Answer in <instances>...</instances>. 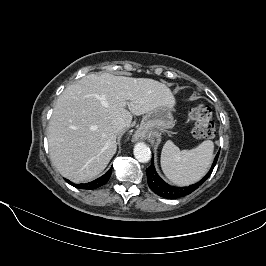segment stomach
Instances as JSON below:
<instances>
[{
    "mask_svg": "<svg viewBox=\"0 0 266 266\" xmlns=\"http://www.w3.org/2000/svg\"><path fill=\"white\" fill-rule=\"evenodd\" d=\"M172 108L167 105L156 107L147 112L141 121L137 134H145L154 130H168L174 126Z\"/></svg>",
    "mask_w": 266,
    "mask_h": 266,
    "instance_id": "stomach-1",
    "label": "stomach"
}]
</instances>
